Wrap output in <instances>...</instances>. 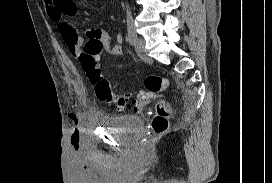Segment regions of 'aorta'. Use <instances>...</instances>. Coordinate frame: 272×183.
Listing matches in <instances>:
<instances>
[{"label": "aorta", "instance_id": "aorta-1", "mask_svg": "<svg viewBox=\"0 0 272 183\" xmlns=\"http://www.w3.org/2000/svg\"><path fill=\"white\" fill-rule=\"evenodd\" d=\"M126 19H127V23L133 22V17H132L129 5L126 6Z\"/></svg>", "mask_w": 272, "mask_h": 183}]
</instances>
